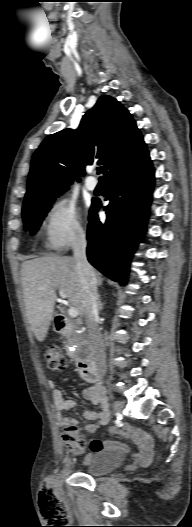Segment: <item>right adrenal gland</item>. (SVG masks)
Returning <instances> with one entry per match:
<instances>
[{
	"instance_id": "2a0ac1e0",
	"label": "right adrenal gland",
	"mask_w": 192,
	"mask_h": 527,
	"mask_svg": "<svg viewBox=\"0 0 192 527\" xmlns=\"http://www.w3.org/2000/svg\"><path fill=\"white\" fill-rule=\"evenodd\" d=\"M98 309L99 311L103 309V303L101 302L100 295H98Z\"/></svg>"
}]
</instances>
